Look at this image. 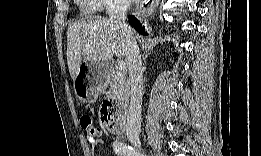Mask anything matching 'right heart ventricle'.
I'll return each instance as SVG.
<instances>
[{
	"label": "right heart ventricle",
	"mask_w": 261,
	"mask_h": 156,
	"mask_svg": "<svg viewBox=\"0 0 261 156\" xmlns=\"http://www.w3.org/2000/svg\"><path fill=\"white\" fill-rule=\"evenodd\" d=\"M81 4L84 5V6H87V7H90V8H91V0L81 1Z\"/></svg>",
	"instance_id": "obj_1"
}]
</instances>
